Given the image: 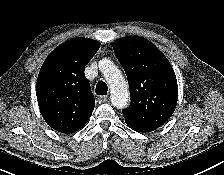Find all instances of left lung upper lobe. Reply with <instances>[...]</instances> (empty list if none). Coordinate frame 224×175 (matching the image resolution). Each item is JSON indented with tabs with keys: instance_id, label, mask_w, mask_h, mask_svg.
Masks as SVG:
<instances>
[{
	"instance_id": "1",
	"label": "left lung upper lobe",
	"mask_w": 224,
	"mask_h": 175,
	"mask_svg": "<svg viewBox=\"0 0 224 175\" xmlns=\"http://www.w3.org/2000/svg\"><path fill=\"white\" fill-rule=\"evenodd\" d=\"M115 55L125 70L131 96L123 110L128 126L158 128L173 114L178 86L165 55L151 42L130 36L113 43Z\"/></svg>"
}]
</instances>
